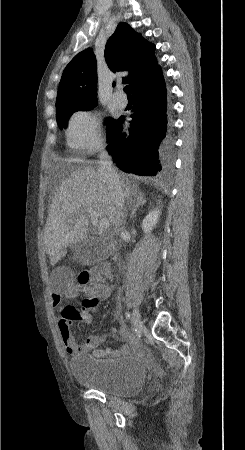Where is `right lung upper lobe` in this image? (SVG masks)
<instances>
[{"label":"right lung upper lobe","instance_id":"right-lung-upper-lobe-1","mask_svg":"<svg viewBox=\"0 0 245 450\" xmlns=\"http://www.w3.org/2000/svg\"><path fill=\"white\" fill-rule=\"evenodd\" d=\"M154 44L147 42L127 23H120L109 38L105 59L109 68L128 71L124 83L130 90L159 66L154 55ZM97 66L91 49L78 53L66 66L58 88L56 106L66 103L97 104Z\"/></svg>","mask_w":245,"mask_h":450}]
</instances>
